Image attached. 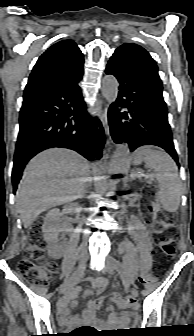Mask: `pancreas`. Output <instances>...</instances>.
I'll return each mask as SVG.
<instances>
[{"label": "pancreas", "mask_w": 194, "mask_h": 336, "mask_svg": "<svg viewBox=\"0 0 194 336\" xmlns=\"http://www.w3.org/2000/svg\"><path fill=\"white\" fill-rule=\"evenodd\" d=\"M154 180L153 176H150L147 180L148 183H151Z\"/></svg>", "instance_id": "obj_1"}]
</instances>
